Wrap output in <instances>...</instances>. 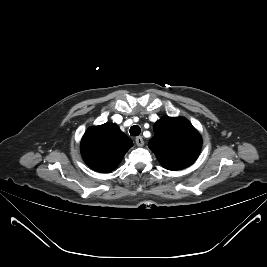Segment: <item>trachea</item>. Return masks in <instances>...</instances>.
<instances>
[{
    "label": "trachea",
    "instance_id": "3493384b",
    "mask_svg": "<svg viewBox=\"0 0 267 267\" xmlns=\"http://www.w3.org/2000/svg\"><path fill=\"white\" fill-rule=\"evenodd\" d=\"M131 136H138L141 132V129L138 125H134L129 130Z\"/></svg>",
    "mask_w": 267,
    "mask_h": 267
}]
</instances>
